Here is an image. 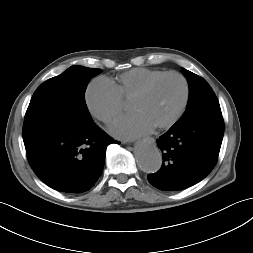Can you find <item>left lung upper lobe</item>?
Here are the masks:
<instances>
[{
	"mask_svg": "<svg viewBox=\"0 0 253 253\" xmlns=\"http://www.w3.org/2000/svg\"><path fill=\"white\" fill-rule=\"evenodd\" d=\"M183 70L189 83V100L186 111L176 124L196 120H223L219 102L210 85L202 77Z\"/></svg>",
	"mask_w": 253,
	"mask_h": 253,
	"instance_id": "obj_1",
	"label": "left lung upper lobe"
}]
</instances>
